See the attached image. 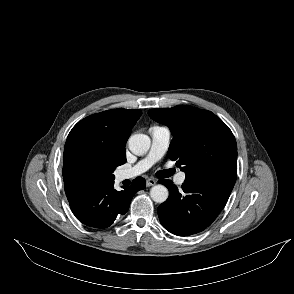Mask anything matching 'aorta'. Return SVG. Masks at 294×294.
I'll return each instance as SVG.
<instances>
[{"label":"aorta","mask_w":294,"mask_h":294,"mask_svg":"<svg viewBox=\"0 0 294 294\" xmlns=\"http://www.w3.org/2000/svg\"><path fill=\"white\" fill-rule=\"evenodd\" d=\"M129 148L136 155L145 154L151 144L150 138L145 134H134L129 138ZM150 196L156 203H163L169 196L168 189L161 184L155 185L150 190Z\"/></svg>","instance_id":"aorta-1"}]
</instances>
